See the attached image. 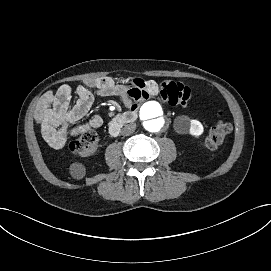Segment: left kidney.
Segmentation results:
<instances>
[{
    "label": "left kidney",
    "instance_id": "left-kidney-1",
    "mask_svg": "<svg viewBox=\"0 0 271 271\" xmlns=\"http://www.w3.org/2000/svg\"><path fill=\"white\" fill-rule=\"evenodd\" d=\"M189 133L195 137L200 136L203 133V126L197 120H190L188 123Z\"/></svg>",
    "mask_w": 271,
    "mask_h": 271
}]
</instances>
